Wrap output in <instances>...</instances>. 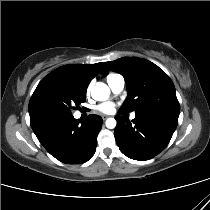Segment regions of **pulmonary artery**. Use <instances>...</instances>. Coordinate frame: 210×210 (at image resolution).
Returning a JSON list of instances; mask_svg holds the SVG:
<instances>
[{
	"mask_svg": "<svg viewBox=\"0 0 210 210\" xmlns=\"http://www.w3.org/2000/svg\"><path fill=\"white\" fill-rule=\"evenodd\" d=\"M109 87L114 93H120L125 86V80L121 75H115L107 80ZM135 118V114L131 115V119Z\"/></svg>",
	"mask_w": 210,
	"mask_h": 210,
	"instance_id": "obj_1",
	"label": "pulmonary artery"
}]
</instances>
